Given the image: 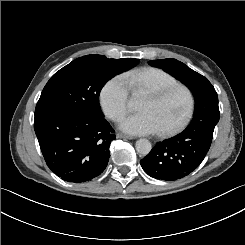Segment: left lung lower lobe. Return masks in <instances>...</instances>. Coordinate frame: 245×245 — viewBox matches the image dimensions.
Here are the masks:
<instances>
[{
	"label": "left lung lower lobe",
	"instance_id": "left-lung-lower-lobe-1",
	"mask_svg": "<svg viewBox=\"0 0 245 245\" xmlns=\"http://www.w3.org/2000/svg\"><path fill=\"white\" fill-rule=\"evenodd\" d=\"M191 123L180 134L158 142L140 161L151 177L165 181L182 179L192 173L206 156L219 121L218 96L208 85L195 97Z\"/></svg>",
	"mask_w": 245,
	"mask_h": 245
}]
</instances>
